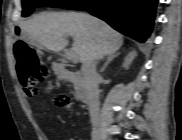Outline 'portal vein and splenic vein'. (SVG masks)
Wrapping results in <instances>:
<instances>
[{"label": "portal vein and splenic vein", "mask_w": 182, "mask_h": 140, "mask_svg": "<svg viewBox=\"0 0 182 140\" xmlns=\"http://www.w3.org/2000/svg\"><path fill=\"white\" fill-rule=\"evenodd\" d=\"M65 56H66V58L68 60H72L74 62H77L78 61V57H77L76 53L73 50L67 51L66 54H65Z\"/></svg>", "instance_id": "obj_1"}]
</instances>
